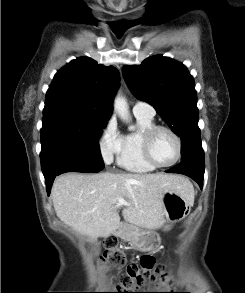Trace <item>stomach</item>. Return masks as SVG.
I'll list each match as a JSON object with an SVG mask.
<instances>
[{"mask_svg":"<svg viewBox=\"0 0 245 293\" xmlns=\"http://www.w3.org/2000/svg\"><path fill=\"white\" fill-rule=\"evenodd\" d=\"M192 205L190 199L178 193L176 190L169 189L163 193V210L165 222H177L185 218ZM122 235L121 230L115 232ZM127 240L139 251L149 252L155 250L160 244L158 233L152 230H134L127 233Z\"/></svg>","mask_w":245,"mask_h":293,"instance_id":"obj_1","label":"stomach"}]
</instances>
